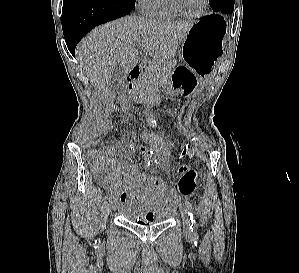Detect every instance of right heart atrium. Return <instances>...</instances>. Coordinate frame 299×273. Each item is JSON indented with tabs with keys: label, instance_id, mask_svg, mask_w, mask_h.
I'll list each match as a JSON object with an SVG mask.
<instances>
[{
	"label": "right heart atrium",
	"instance_id": "1",
	"mask_svg": "<svg viewBox=\"0 0 299 273\" xmlns=\"http://www.w3.org/2000/svg\"><path fill=\"white\" fill-rule=\"evenodd\" d=\"M151 0H135L136 6L140 12L144 13Z\"/></svg>",
	"mask_w": 299,
	"mask_h": 273
}]
</instances>
